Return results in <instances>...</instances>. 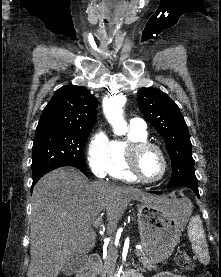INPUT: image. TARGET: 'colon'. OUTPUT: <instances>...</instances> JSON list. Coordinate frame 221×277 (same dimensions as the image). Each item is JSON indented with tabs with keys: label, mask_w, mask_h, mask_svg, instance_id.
<instances>
[{
	"label": "colon",
	"mask_w": 221,
	"mask_h": 277,
	"mask_svg": "<svg viewBox=\"0 0 221 277\" xmlns=\"http://www.w3.org/2000/svg\"><path fill=\"white\" fill-rule=\"evenodd\" d=\"M175 262L177 266L185 270H192L194 268V258L185 251L176 253ZM197 277H216V273L214 269L206 268L201 270Z\"/></svg>",
	"instance_id": "1"
}]
</instances>
